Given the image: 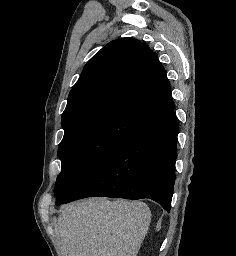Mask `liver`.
Here are the masks:
<instances>
[{
    "instance_id": "liver-1",
    "label": "liver",
    "mask_w": 236,
    "mask_h": 256,
    "mask_svg": "<svg viewBox=\"0 0 236 256\" xmlns=\"http://www.w3.org/2000/svg\"><path fill=\"white\" fill-rule=\"evenodd\" d=\"M150 222L144 202L88 198L67 204L55 228L59 256H137Z\"/></svg>"
}]
</instances>
